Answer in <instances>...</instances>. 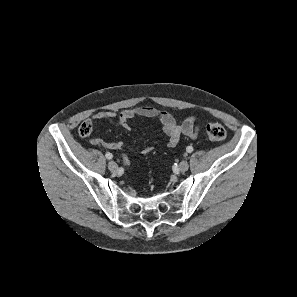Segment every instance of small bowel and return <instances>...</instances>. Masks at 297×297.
Instances as JSON below:
<instances>
[{"label":"small bowel","mask_w":297,"mask_h":297,"mask_svg":"<svg viewBox=\"0 0 297 297\" xmlns=\"http://www.w3.org/2000/svg\"><path fill=\"white\" fill-rule=\"evenodd\" d=\"M133 118H147L158 121L167 137V145L169 147L176 146L181 136L195 138L198 135L199 129L201 127V124L194 116L187 117L182 121V123H177L176 119L169 112L150 106L130 108L119 113L108 110H100L92 116L91 121H113L121 129L129 130V121ZM90 142L94 145H98L109 150L133 149L123 142L107 141L97 137L90 138ZM152 151V146H146L141 150V154L147 155Z\"/></svg>","instance_id":"small-bowel-1"}]
</instances>
